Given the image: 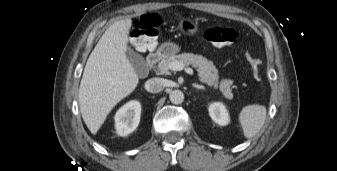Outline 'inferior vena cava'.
Segmentation results:
<instances>
[{"label": "inferior vena cava", "instance_id": "602c4592", "mask_svg": "<svg viewBox=\"0 0 337 171\" xmlns=\"http://www.w3.org/2000/svg\"><path fill=\"white\" fill-rule=\"evenodd\" d=\"M164 88V80L159 77L151 78L146 82V90L151 93H159Z\"/></svg>", "mask_w": 337, "mask_h": 171}]
</instances>
